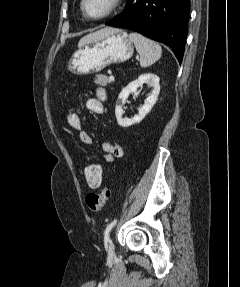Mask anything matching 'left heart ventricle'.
I'll use <instances>...</instances> for the list:
<instances>
[{
  "mask_svg": "<svg viewBox=\"0 0 240 287\" xmlns=\"http://www.w3.org/2000/svg\"><path fill=\"white\" fill-rule=\"evenodd\" d=\"M111 0H86L85 8L90 16L103 14L110 6Z\"/></svg>",
  "mask_w": 240,
  "mask_h": 287,
  "instance_id": "left-heart-ventricle-1",
  "label": "left heart ventricle"
}]
</instances>
